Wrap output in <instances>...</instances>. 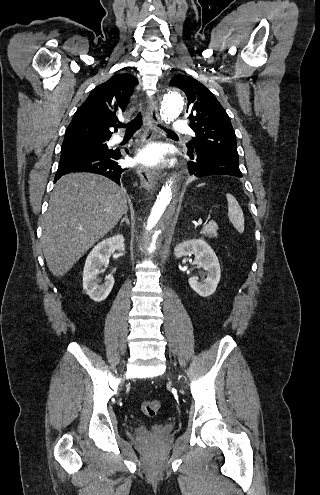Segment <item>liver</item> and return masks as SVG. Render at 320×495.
I'll return each mask as SVG.
<instances>
[{
	"label": "liver",
	"instance_id": "6515ba94",
	"mask_svg": "<svg viewBox=\"0 0 320 495\" xmlns=\"http://www.w3.org/2000/svg\"><path fill=\"white\" fill-rule=\"evenodd\" d=\"M127 210L125 191L109 179L88 173L63 175L42 225L41 243L51 273L66 274Z\"/></svg>",
	"mask_w": 320,
	"mask_h": 495
}]
</instances>
